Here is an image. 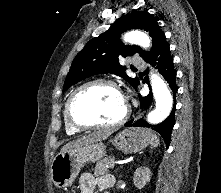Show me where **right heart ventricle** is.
Returning <instances> with one entry per match:
<instances>
[{
  "label": "right heart ventricle",
  "instance_id": "obj_1",
  "mask_svg": "<svg viewBox=\"0 0 221 193\" xmlns=\"http://www.w3.org/2000/svg\"><path fill=\"white\" fill-rule=\"evenodd\" d=\"M64 116H65V129H66L67 134H69V135H76V134H78L80 132V130L75 128V127H73L69 123V121H68V119L66 117V111H65V115Z\"/></svg>",
  "mask_w": 221,
  "mask_h": 193
}]
</instances>
